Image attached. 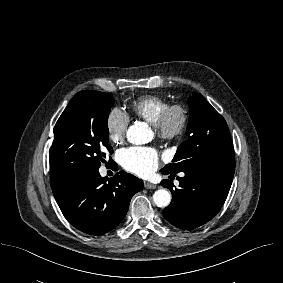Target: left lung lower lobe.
<instances>
[{
  "label": "left lung lower lobe",
  "mask_w": 283,
  "mask_h": 283,
  "mask_svg": "<svg viewBox=\"0 0 283 283\" xmlns=\"http://www.w3.org/2000/svg\"><path fill=\"white\" fill-rule=\"evenodd\" d=\"M175 177L177 173L161 170ZM177 177L179 188L163 180L161 185L172 193V202L163 210L165 219L172 225L192 230L210 221L223 206L232 184L235 161L219 165H196L181 170Z\"/></svg>",
  "instance_id": "0a47b994"
}]
</instances>
